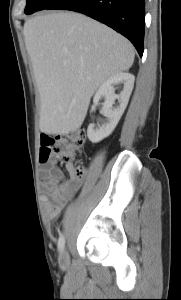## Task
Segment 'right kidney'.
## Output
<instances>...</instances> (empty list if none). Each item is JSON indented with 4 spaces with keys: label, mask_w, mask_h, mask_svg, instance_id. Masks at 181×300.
<instances>
[{
    "label": "right kidney",
    "mask_w": 181,
    "mask_h": 300,
    "mask_svg": "<svg viewBox=\"0 0 181 300\" xmlns=\"http://www.w3.org/2000/svg\"><path fill=\"white\" fill-rule=\"evenodd\" d=\"M135 77L131 73L120 72L108 78L102 83L94 95L93 102L97 104L104 97L105 102L102 107V115L106 117V122L95 128L94 124H90L87 129V135L92 143H98L108 137L117 126L134 87ZM123 85V90L119 95L115 94V85ZM118 100L119 105L113 107L115 100Z\"/></svg>",
    "instance_id": "right-kidney-1"
}]
</instances>
